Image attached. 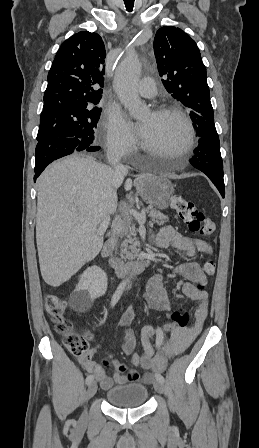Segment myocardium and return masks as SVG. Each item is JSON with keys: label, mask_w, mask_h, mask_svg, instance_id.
<instances>
[{"label": "myocardium", "mask_w": 259, "mask_h": 448, "mask_svg": "<svg viewBox=\"0 0 259 448\" xmlns=\"http://www.w3.org/2000/svg\"><path fill=\"white\" fill-rule=\"evenodd\" d=\"M172 113L179 117L181 121L184 123L186 128V136L181 144H179L174 150L176 151V157H178L182 163H185L190 155V150L192 144L194 142L195 130L192 124V121L188 117V115L183 111V109L175 104H162L158 105L154 108L153 114L157 116H161L164 114ZM140 137V134H139ZM141 148L145 151L154 152V150L148 146L145 142H143L140 138Z\"/></svg>", "instance_id": "f54148a6"}]
</instances>
